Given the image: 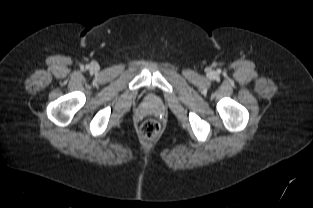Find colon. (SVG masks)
<instances>
[{"label": "colon", "instance_id": "colon-1", "mask_svg": "<svg viewBox=\"0 0 313 208\" xmlns=\"http://www.w3.org/2000/svg\"><path fill=\"white\" fill-rule=\"evenodd\" d=\"M159 132L160 124L154 119H147L140 126V134L146 140L156 138Z\"/></svg>", "mask_w": 313, "mask_h": 208}]
</instances>
